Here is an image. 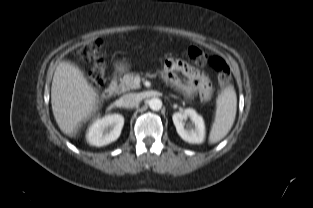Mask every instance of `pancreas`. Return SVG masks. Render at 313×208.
I'll return each instance as SVG.
<instances>
[{"mask_svg": "<svg viewBox=\"0 0 313 208\" xmlns=\"http://www.w3.org/2000/svg\"><path fill=\"white\" fill-rule=\"evenodd\" d=\"M135 76V73H127L122 78H120V84L115 91L116 94H121L132 89H139L140 85L134 82ZM149 76L155 77L156 75L154 74Z\"/></svg>", "mask_w": 313, "mask_h": 208, "instance_id": "pancreas-1", "label": "pancreas"}]
</instances>
